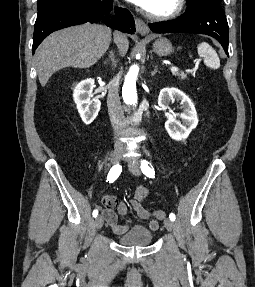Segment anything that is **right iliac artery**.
I'll return each instance as SVG.
<instances>
[{
	"mask_svg": "<svg viewBox=\"0 0 255 287\" xmlns=\"http://www.w3.org/2000/svg\"><path fill=\"white\" fill-rule=\"evenodd\" d=\"M122 171V167L120 164H116L114 165L107 176V181H109V183H113L121 174ZM98 215V210H94L93 211V217H96Z\"/></svg>",
	"mask_w": 255,
	"mask_h": 287,
	"instance_id": "obj_1",
	"label": "right iliac artery"
}]
</instances>
